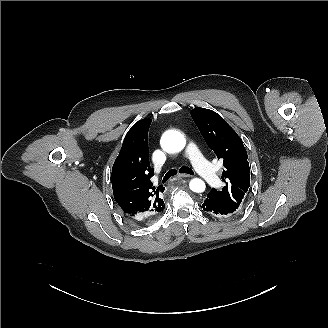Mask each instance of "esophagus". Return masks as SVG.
<instances>
[{
    "label": "esophagus",
    "instance_id": "esophagus-1",
    "mask_svg": "<svg viewBox=\"0 0 328 328\" xmlns=\"http://www.w3.org/2000/svg\"><path fill=\"white\" fill-rule=\"evenodd\" d=\"M177 177L178 178H187V177H191V175H189V174H179Z\"/></svg>",
    "mask_w": 328,
    "mask_h": 328
}]
</instances>
